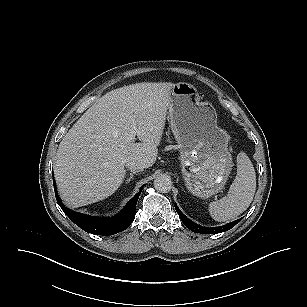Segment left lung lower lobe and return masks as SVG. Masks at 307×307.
<instances>
[{"label": "left lung lower lobe", "instance_id": "0a47b994", "mask_svg": "<svg viewBox=\"0 0 307 307\" xmlns=\"http://www.w3.org/2000/svg\"><path fill=\"white\" fill-rule=\"evenodd\" d=\"M175 208L177 213L179 214V217L181 219V221L183 222V224L190 229L193 232L196 233H202V234H216V233H221V232H225L227 230H230L232 227H234L239 221L240 219L230 222L226 225L223 226H219V227H203L200 226L194 222H192L191 220H189L178 208V206L175 204Z\"/></svg>", "mask_w": 307, "mask_h": 307}]
</instances>
